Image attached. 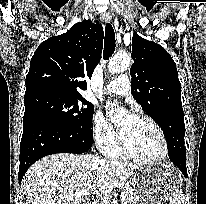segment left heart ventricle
Segmentation results:
<instances>
[{"label":"left heart ventricle","mask_w":206,"mask_h":204,"mask_svg":"<svg viewBox=\"0 0 206 204\" xmlns=\"http://www.w3.org/2000/svg\"><path fill=\"white\" fill-rule=\"evenodd\" d=\"M118 127L126 144L134 153L147 158L162 154L161 137L146 120L126 115L120 119Z\"/></svg>","instance_id":"left-heart-ventricle-1"}]
</instances>
